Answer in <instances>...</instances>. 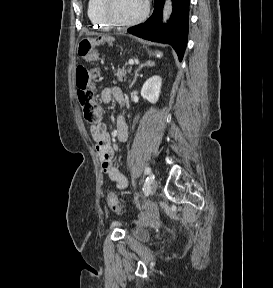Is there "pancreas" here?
<instances>
[{
  "mask_svg": "<svg viewBox=\"0 0 273 288\" xmlns=\"http://www.w3.org/2000/svg\"><path fill=\"white\" fill-rule=\"evenodd\" d=\"M132 68L131 67H127L126 65L122 68H118L115 73L114 76L117 77L118 81H123L126 80V75L127 73H131ZM113 83H116V80L113 81Z\"/></svg>",
  "mask_w": 273,
  "mask_h": 288,
  "instance_id": "cf45deb5",
  "label": "pancreas"
}]
</instances>
